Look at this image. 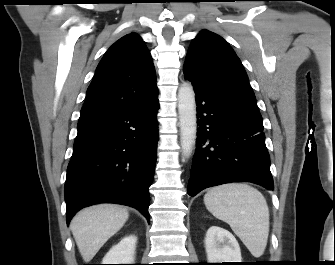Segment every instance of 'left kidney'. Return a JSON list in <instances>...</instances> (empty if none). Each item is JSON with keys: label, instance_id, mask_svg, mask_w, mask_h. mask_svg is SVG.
<instances>
[{"label": "left kidney", "instance_id": "1", "mask_svg": "<svg viewBox=\"0 0 335 265\" xmlns=\"http://www.w3.org/2000/svg\"><path fill=\"white\" fill-rule=\"evenodd\" d=\"M205 249L208 263L241 262L240 246L228 230L211 226L206 233Z\"/></svg>", "mask_w": 335, "mask_h": 265}]
</instances>
